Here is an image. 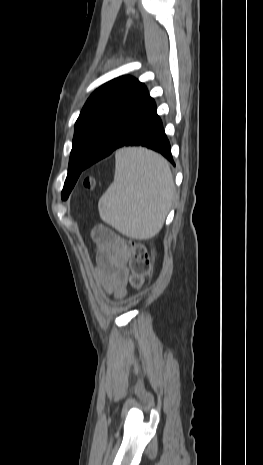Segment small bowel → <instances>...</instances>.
<instances>
[{"label":"small bowel","instance_id":"small-bowel-1","mask_svg":"<svg viewBox=\"0 0 263 465\" xmlns=\"http://www.w3.org/2000/svg\"><path fill=\"white\" fill-rule=\"evenodd\" d=\"M100 263V277L106 290L116 296L125 294L128 268V254L121 250L118 241L106 229L93 232Z\"/></svg>","mask_w":263,"mask_h":465}]
</instances>
